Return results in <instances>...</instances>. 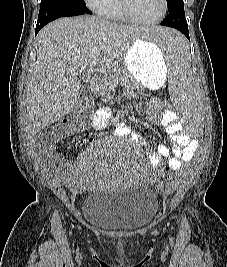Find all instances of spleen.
Instances as JSON below:
<instances>
[{
  "mask_svg": "<svg viewBox=\"0 0 227 267\" xmlns=\"http://www.w3.org/2000/svg\"><path fill=\"white\" fill-rule=\"evenodd\" d=\"M136 30H149L143 33L141 41L156 43L158 55H165L169 67V91L172 101L180 110L176 115H202L199 105L200 91L189 71L187 43L178 29L170 25H136ZM184 134L187 137H202L205 134L202 116H181Z\"/></svg>",
  "mask_w": 227,
  "mask_h": 267,
  "instance_id": "3e777b00",
  "label": "spleen"
}]
</instances>
